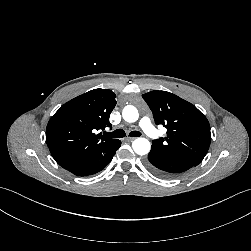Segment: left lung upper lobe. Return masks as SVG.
I'll use <instances>...</instances> for the list:
<instances>
[{
    "label": "left lung upper lobe",
    "mask_w": 251,
    "mask_h": 251,
    "mask_svg": "<svg viewBox=\"0 0 251 251\" xmlns=\"http://www.w3.org/2000/svg\"><path fill=\"white\" fill-rule=\"evenodd\" d=\"M157 125L166 127L167 137L152 141V149L178 156L198 165L210 146L211 132L206 117L191 103L167 91L142 95Z\"/></svg>",
    "instance_id": "left-lung-upper-lobe-1"
}]
</instances>
